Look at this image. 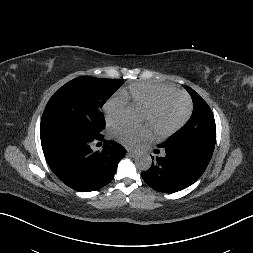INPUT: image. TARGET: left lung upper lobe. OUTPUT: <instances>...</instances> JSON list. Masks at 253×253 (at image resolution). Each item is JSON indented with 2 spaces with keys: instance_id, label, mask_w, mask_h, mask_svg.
Segmentation results:
<instances>
[{
  "instance_id": "5c2ea615",
  "label": "left lung upper lobe",
  "mask_w": 253,
  "mask_h": 253,
  "mask_svg": "<svg viewBox=\"0 0 253 253\" xmlns=\"http://www.w3.org/2000/svg\"><path fill=\"white\" fill-rule=\"evenodd\" d=\"M193 100V113L188 123L160 146H178L194 150L211 159L215 141L216 125L213 113L203 98L187 87Z\"/></svg>"
}]
</instances>
